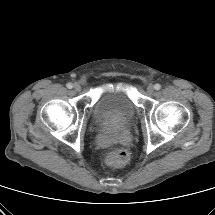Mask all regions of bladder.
<instances>
[{"label":"bladder","instance_id":"1","mask_svg":"<svg viewBox=\"0 0 215 215\" xmlns=\"http://www.w3.org/2000/svg\"><path fill=\"white\" fill-rule=\"evenodd\" d=\"M135 114V105L127 91L117 85H103L93 108V119L100 124L120 126L128 123Z\"/></svg>","mask_w":215,"mask_h":215}]
</instances>
